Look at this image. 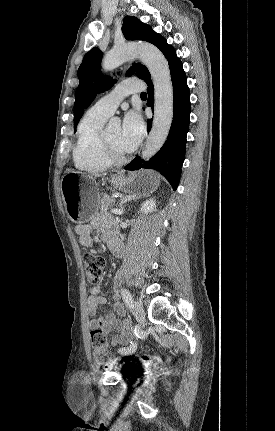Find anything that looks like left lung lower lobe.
<instances>
[{
  "label": "left lung lower lobe",
  "instance_id": "left-lung-lower-lobe-1",
  "mask_svg": "<svg viewBox=\"0 0 275 431\" xmlns=\"http://www.w3.org/2000/svg\"><path fill=\"white\" fill-rule=\"evenodd\" d=\"M170 67L173 85V122L169 136L162 148L148 162L142 165L139 157L125 166L126 170H137L141 167L159 171L171 184L174 190L177 189L181 167L185 159L186 136L189 129L190 116V92L187 86V79L183 70V65L176 55L173 47L169 48L165 55ZM148 88L147 106H154V87L151 79L146 81ZM152 126V121H147L148 131Z\"/></svg>",
  "mask_w": 275,
  "mask_h": 431
}]
</instances>
